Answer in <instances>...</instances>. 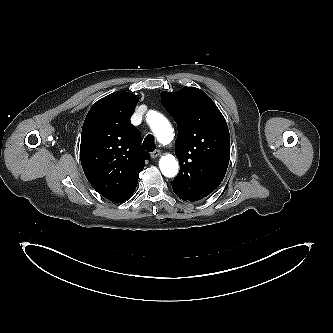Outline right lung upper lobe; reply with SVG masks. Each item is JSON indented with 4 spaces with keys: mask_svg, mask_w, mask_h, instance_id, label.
<instances>
[{
    "mask_svg": "<svg viewBox=\"0 0 333 333\" xmlns=\"http://www.w3.org/2000/svg\"><path fill=\"white\" fill-rule=\"evenodd\" d=\"M139 96L114 92L89 110L82 129L80 159L89 183L106 199L120 203L136 189L148 153L130 118Z\"/></svg>",
    "mask_w": 333,
    "mask_h": 333,
    "instance_id": "1",
    "label": "right lung upper lobe"
}]
</instances>
